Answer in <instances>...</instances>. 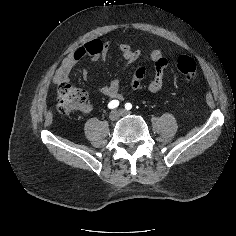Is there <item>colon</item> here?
Wrapping results in <instances>:
<instances>
[{"instance_id":"1","label":"colon","mask_w":236,"mask_h":236,"mask_svg":"<svg viewBox=\"0 0 236 236\" xmlns=\"http://www.w3.org/2000/svg\"><path fill=\"white\" fill-rule=\"evenodd\" d=\"M178 72L185 79H193L197 73L195 60L190 56H181L176 64ZM145 74L144 67H138L131 82L132 88H137ZM86 92L78 87L63 84L58 91L57 110L63 115H69L85 105Z\"/></svg>"}]
</instances>
